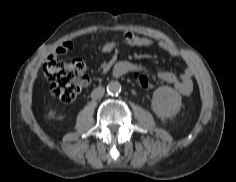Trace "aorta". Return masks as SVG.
I'll use <instances>...</instances> for the list:
<instances>
[{"mask_svg":"<svg viewBox=\"0 0 236 182\" xmlns=\"http://www.w3.org/2000/svg\"><path fill=\"white\" fill-rule=\"evenodd\" d=\"M107 92L111 95H117L121 92V85L118 81H111L107 85Z\"/></svg>","mask_w":236,"mask_h":182,"instance_id":"762f6f07","label":"aorta"}]
</instances>
